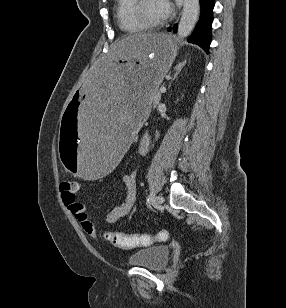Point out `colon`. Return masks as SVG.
<instances>
[{"mask_svg":"<svg viewBox=\"0 0 286 308\" xmlns=\"http://www.w3.org/2000/svg\"><path fill=\"white\" fill-rule=\"evenodd\" d=\"M60 189L64 196L74 197L78 192L79 183L75 180H64L60 184ZM105 239L115 247L128 249L149 246L156 242L164 241L167 239V234L124 235L119 232L109 231L105 233Z\"/></svg>","mask_w":286,"mask_h":308,"instance_id":"colon-1","label":"colon"}]
</instances>
